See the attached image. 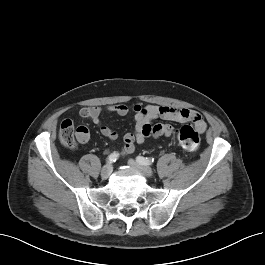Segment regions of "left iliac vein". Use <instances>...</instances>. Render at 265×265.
Masks as SVG:
<instances>
[{
	"label": "left iliac vein",
	"instance_id": "obj_1",
	"mask_svg": "<svg viewBox=\"0 0 265 265\" xmlns=\"http://www.w3.org/2000/svg\"><path fill=\"white\" fill-rule=\"evenodd\" d=\"M128 164L132 168H134V169L138 170L139 172H141L145 177L151 178L154 175V172H153V170L150 167L140 165L136 161H134L133 159H130L128 161Z\"/></svg>",
	"mask_w": 265,
	"mask_h": 265
}]
</instances>
